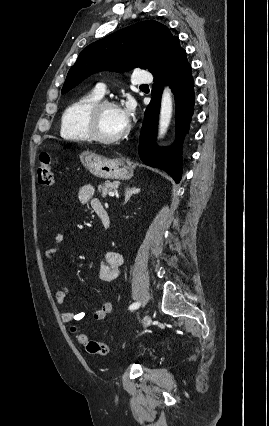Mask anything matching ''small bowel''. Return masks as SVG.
<instances>
[{"label": "small bowel", "mask_w": 269, "mask_h": 426, "mask_svg": "<svg viewBox=\"0 0 269 426\" xmlns=\"http://www.w3.org/2000/svg\"><path fill=\"white\" fill-rule=\"evenodd\" d=\"M78 202L81 205H88L93 210L98 207H101L99 200L95 198V188L92 185H83L78 192ZM53 239L55 242L54 246H47L43 250V255L45 259L49 262V269H53L56 263V255L60 251L61 246L64 242L63 231L59 228H56L53 231ZM124 262L123 256L119 251H109L104 254L100 269L99 275L100 278L104 281H113L118 278L120 273V268ZM69 290L65 286H59L55 293V302L58 307H62L68 297ZM114 303L111 300H108L102 304V306L93 311L91 317L95 320H103L107 317L109 313L113 310ZM85 317V313L72 310H62L60 312V318L63 322H77L82 320Z\"/></svg>", "instance_id": "obj_1"}]
</instances>
